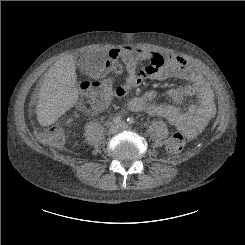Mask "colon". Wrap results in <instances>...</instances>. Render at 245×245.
I'll use <instances>...</instances> for the list:
<instances>
[{
	"mask_svg": "<svg viewBox=\"0 0 245 245\" xmlns=\"http://www.w3.org/2000/svg\"><path fill=\"white\" fill-rule=\"evenodd\" d=\"M129 48V55L135 57L136 49L134 47ZM163 65L161 61L159 63ZM83 89H90L101 93H110L112 90L111 82L108 79H103L101 82H86L83 84ZM73 120V117L63 118L58 124L51 127H46L38 131V137L43 142L49 143L51 145L58 146L62 143L63 132L62 128L66 126ZM186 145V135L184 132L177 131L173 133L167 140V150L170 153L177 154L180 153Z\"/></svg>",
	"mask_w": 245,
	"mask_h": 245,
	"instance_id": "colon-1",
	"label": "colon"
}]
</instances>
